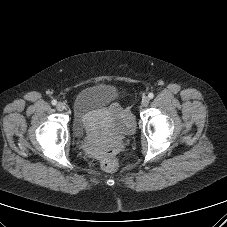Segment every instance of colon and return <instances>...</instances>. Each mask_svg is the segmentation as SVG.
<instances>
[{"instance_id": "5ec220e1", "label": "colon", "mask_w": 227, "mask_h": 227, "mask_svg": "<svg viewBox=\"0 0 227 227\" xmlns=\"http://www.w3.org/2000/svg\"><path fill=\"white\" fill-rule=\"evenodd\" d=\"M102 167L107 171H115L119 164L112 152L107 151L102 159Z\"/></svg>"}]
</instances>
